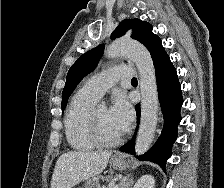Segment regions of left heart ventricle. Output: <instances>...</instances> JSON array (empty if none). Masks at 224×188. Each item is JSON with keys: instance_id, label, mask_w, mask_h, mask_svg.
I'll use <instances>...</instances> for the list:
<instances>
[{"instance_id": "left-heart-ventricle-1", "label": "left heart ventricle", "mask_w": 224, "mask_h": 188, "mask_svg": "<svg viewBox=\"0 0 224 188\" xmlns=\"http://www.w3.org/2000/svg\"><path fill=\"white\" fill-rule=\"evenodd\" d=\"M97 119L102 134L107 138H116L121 135V131L117 128L110 117L109 110L105 107H99L96 110Z\"/></svg>"}]
</instances>
